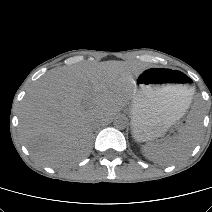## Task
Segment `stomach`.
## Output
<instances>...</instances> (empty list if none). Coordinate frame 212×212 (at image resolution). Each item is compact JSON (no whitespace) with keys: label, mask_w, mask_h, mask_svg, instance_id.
I'll list each match as a JSON object with an SVG mask.
<instances>
[{"label":"stomach","mask_w":212,"mask_h":212,"mask_svg":"<svg viewBox=\"0 0 212 212\" xmlns=\"http://www.w3.org/2000/svg\"><path fill=\"white\" fill-rule=\"evenodd\" d=\"M182 72L160 67L142 70L135 79L131 125L137 141H152L165 134L189 108L194 88Z\"/></svg>","instance_id":"obj_1"}]
</instances>
